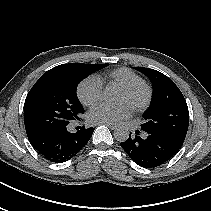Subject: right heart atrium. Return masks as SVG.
Listing matches in <instances>:
<instances>
[{
    "label": "right heart atrium",
    "mask_w": 211,
    "mask_h": 211,
    "mask_svg": "<svg viewBox=\"0 0 211 211\" xmlns=\"http://www.w3.org/2000/svg\"><path fill=\"white\" fill-rule=\"evenodd\" d=\"M102 90L103 85L100 80L95 76H91L79 84L77 95L83 105L92 107L101 100Z\"/></svg>",
    "instance_id": "right-heart-atrium-1"
}]
</instances>
